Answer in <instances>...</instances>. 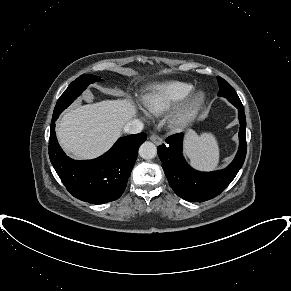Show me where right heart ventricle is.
Segmentation results:
<instances>
[{"mask_svg": "<svg viewBox=\"0 0 291 291\" xmlns=\"http://www.w3.org/2000/svg\"><path fill=\"white\" fill-rule=\"evenodd\" d=\"M193 88L192 84L182 81L157 84L142 98V106L149 115H162L179 104Z\"/></svg>", "mask_w": 291, "mask_h": 291, "instance_id": "1", "label": "right heart ventricle"}]
</instances>
